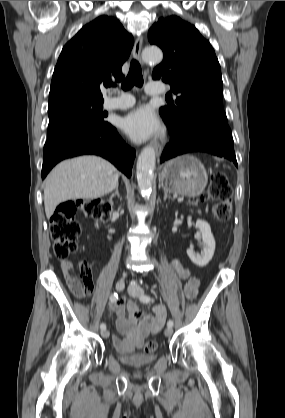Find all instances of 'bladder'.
Instances as JSON below:
<instances>
[{"instance_id":"31cf9c89","label":"bladder","mask_w":285,"mask_h":418,"mask_svg":"<svg viewBox=\"0 0 285 418\" xmlns=\"http://www.w3.org/2000/svg\"><path fill=\"white\" fill-rule=\"evenodd\" d=\"M116 356L119 362L130 367H146L152 365L156 361L154 352H125L116 350Z\"/></svg>"}]
</instances>
